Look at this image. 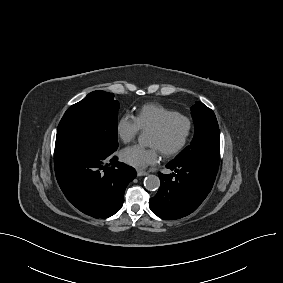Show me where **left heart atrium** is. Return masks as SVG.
Returning a JSON list of instances; mask_svg holds the SVG:
<instances>
[{
	"instance_id": "obj_1",
	"label": "left heart atrium",
	"mask_w": 283,
	"mask_h": 283,
	"mask_svg": "<svg viewBox=\"0 0 283 283\" xmlns=\"http://www.w3.org/2000/svg\"><path fill=\"white\" fill-rule=\"evenodd\" d=\"M160 152L156 146L145 148L140 145H133L125 148L121 153V157L124 162L133 167L146 168L157 163Z\"/></svg>"
}]
</instances>
